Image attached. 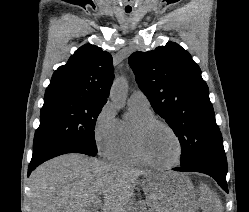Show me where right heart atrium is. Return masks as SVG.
<instances>
[{
  "instance_id": "d8ad5b80",
  "label": "right heart atrium",
  "mask_w": 249,
  "mask_h": 212,
  "mask_svg": "<svg viewBox=\"0 0 249 212\" xmlns=\"http://www.w3.org/2000/svg\"><path fill=\"white\" fill-rule=\"evenodd\" d=\"M117 123L114 106L108 101L100 108L93 121L95 144L98 150L108 157L117 141Z\"/></svg>"
}]
</instances>
